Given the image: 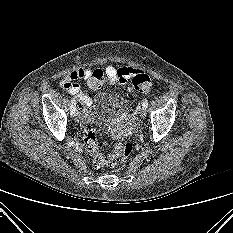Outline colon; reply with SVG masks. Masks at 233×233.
I'll return each instance as SVG.
<instances>
[{
	"label": "colon",
	"instance_id": "5ec220e1",
	"mask_svg": "<svg viewBox=\"0 0 233 233\" xmlns=\"http://www.w3.org/2000/svg\"><path fill=\"white\" fill-rule=\"evenodd\" d=\"M86 82L92 90H97L106 83H116L113 78L108 77L100 69L93 70ZM132 84L138 91L148 92L151 90L153 82L147 74L139 72L132 77ZM83 140L89 158L97 166H114L123 163L132 152L130 143H117L110 153L104 155L102 153V144L98 141L94 128L88 124L83 128Z\"/></svg>",
	"mask_w": 233,
	"mask_h": 233
}]
</instances>
